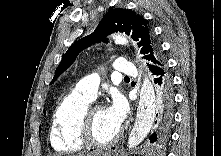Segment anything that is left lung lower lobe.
I'll use <instances>...</instances> for the list:
<instances>
[{"label": "left lung lower lobe", "instance_id": "0a47b994", "mask_svg": "<svg viewBox=\"0 0 221 156\" xmlns=\"http://www.w3.org/2000/svg\"><path fill=\"white\" fill-rule=\"evenodd\" d=\"M154 82L153 113L154 121L150 142L158 143L169 136L173 117V85L172 76L166 62L149 68ZM114 149V148H113Z\"/></svg>", "mask_w": 221, "mask_h": 156}]
</instances>
